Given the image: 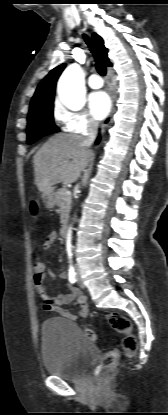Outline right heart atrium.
Masks as SVG:
<instances>
[{
	"instance_id": "1",
	"label": "right heart atrium",
	"mask_w": 168,
	"mask_h": 415,
	"mask_svg": "<svg viewBox=\"0 0 168 415\" xmlns=\"http://www.w3.org/2000/svg\"><path fill=\"white\" fill-rule=\"evenodd\" d=\"M54 117L60 128L68 133L87 135L96 131L98 123L85 110L73 111L57 103Z\"/></svg>"
}]
</instances>
